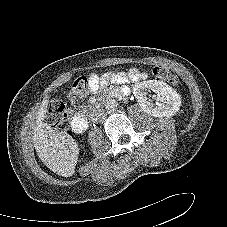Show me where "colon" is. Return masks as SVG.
<instances>
[{"mask_svg": "<svg viewBox=\"0 0 227 227\" xmlns=\"http://www.w3.org/2000/svg\"><path fill=\"white\" fill-rule=\"evenodd\" d=\"M152 74L163 81H167L173 86L178 84V79L164 66L156 65L151 69ZM90 76H81L77 78L69 91V96L72 100H78L85 97L90 90ZM46 120L48 124L59 130H67L68 115L65 105L60 101H53L50 103L47 113Z\"/></svg>", "mask_w": 227, "mask_h": 227, "instance_id": "1", "label": "colon"}]
</instances>
